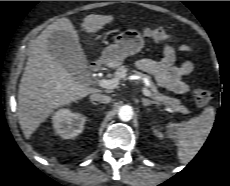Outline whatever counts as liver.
<instances>
[{"mask_svg": "<svg viewBox=\"0 0 230 186\" xmlns=\"http://www.w3.org/2000/svg\"><path fill=\"white\" fill-rule=\"evenodd\" d=\"M113 21L110 15L90 14L83 19L82 27L86 33H95ZM55 31H65L79 41L72 22L61 18L47 26L32 43L19 84L17 108L20 127L27 139L55 109L100 92L77 80L51 54L49 37Z\"/></svg>", "mask_w": 230, "mask_h": 186, "instance_id": "6515ba94", "label": "liver"}]
</instances>
